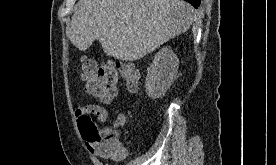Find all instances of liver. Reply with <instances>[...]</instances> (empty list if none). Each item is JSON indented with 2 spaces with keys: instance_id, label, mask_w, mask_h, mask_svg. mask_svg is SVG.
Wrapping results in <instances>:
<instances>
[{
  "instance_id": "obj_1",
  "label": "liver",
  "mask_w": 276,
  "mask_h": 165,
  "mask_svg": "<svg viewBox=\"0 0 276 165\" xmlns=\"http://www.w3.org/2000/svg\"><path fill=\"white\" fill-rule=\"evenodd\" d=\"M195 19L183 0H85L68 36L81 51L98 40L107 56L135 61L185 33Z\"/></svg>"
}]
</instances>
